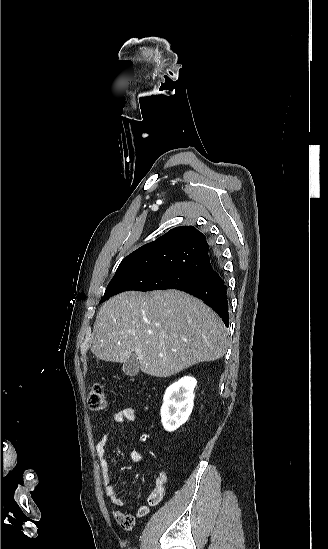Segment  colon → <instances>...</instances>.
<instances>
[{
  "mask_svg": "<svg viewBox=\"0 0 328 549\" xmlns=\"http://www.w3.org/2000/svg\"><path fill=\"white\" fill-rule=\"evenodd\" d=\"M107 400L104 388L101 384H95L92 386L88 395V405L92 410H102L106 407ZM114 518L117 523L126 530H132L135 526V518L131 514L123 513L121 511L113 512Z\"/></svg>",
  "mask_w": 328,
  "mask_h": 549,
  "instance_id": "5ec220e1",
  "label": "colon"
}]
</instances>
